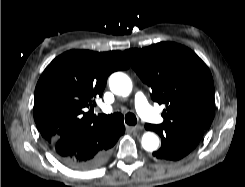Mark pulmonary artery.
Wrapping results in <instances>:
<instances>
[{
    "instance_id": "pulmonary-artery-1",
    "label": "pulmonary artery",
    "mask_w": 245,
    "mask_h": 187,
    "mask_svg": "<svg viewBox=\"0 0 245 187\" xmlns=\"http://www.w3.org/2000/svg\"><path fill=\"white\" fill-rule=\"evenodd\" d=\"M134 104L138 114L145 120L154 123H162L164 119L150 106L145 95L142 92H137L134 96ZM112 109L106 107L104 112L109 113Z\"/></svg>"
}]
</instances>
